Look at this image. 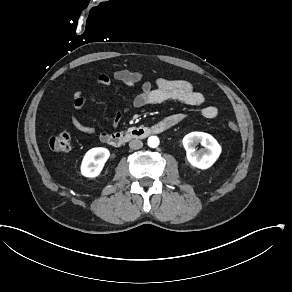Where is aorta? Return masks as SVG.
Segmentation results:
<instances>
[{
    "label": "aorta",
    "mask_w": 292,
    "mask_h": 292,
    "mask_svg": "<svg viewBox=\"0 0 292 292\" xmlns=\"http://www.w3.org/2000/svg\"><path fill=\"white\" fill-rule=\"evenodd\" d=\"M148 145L151 148H156L159 145V139L156 136H151L148 139Z\"/></svg>",
    "instance_id": "762f6f07"
}]
</instances>
